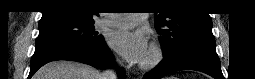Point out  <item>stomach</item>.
<instances>
[{
	"mask_svg": "<svg viewBox=\"0 0 255 79\" xmlns=\"http://www.w3.org/2000/svg\"><path fill=\"white\" fill-rule=\"evenodd\" d=\"M167 79H174V77H168Z\"/></svg>",
	"mask_w": 255,
	"mask_h": 79,
	"instance_id": "obj_1",
	"label": "stomach"
}]
</instances>
